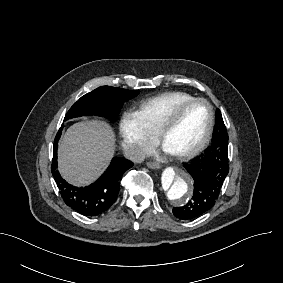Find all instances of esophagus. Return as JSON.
I'll list each match as a JSON object with an SVG mask.
<instances>
[{
    "label": "esophagus",
    "mask_w": 283,
    "mask_h": 283,
    "mask_svg": "<svg viewBox=\"0 0 283 283\" xmlns=\"http://www.w3.org/2000/svg\"><path fill=\"white\" fill-rule=\"evenodd\" d=\"M147 166L150 169H159V168L162 167L161 163H159V162H147Z\"/></svg>",
    "instance_id": "34e87169"
}]
</instances>
